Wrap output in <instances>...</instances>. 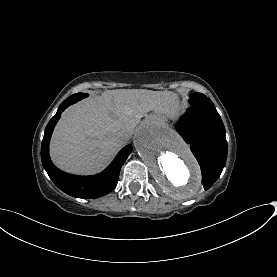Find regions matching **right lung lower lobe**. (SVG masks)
<instances>
[{"label":"right lung lower lobe","mask_w":277,"mask_h":277,"mask_svg":"<svg viewBox=\"0 0 277 277\" xmlns=\"http://www.w3.org/2000/svg\"><path fill=\"white\" fill-rule=\"evenodd\" d=\"M72 96L61 103L57 113L46 126L41 145L42 164L54 184L66 194L78 198H98L108 194L116 187L120 169L132 152V146L124 147L102 173L94 176L71 175L56 168L49 157V142L61 113L69 105L78 101L77 98L70 99Z\"/></svg>","instance_id":"98d812e1"}]
</instances>
